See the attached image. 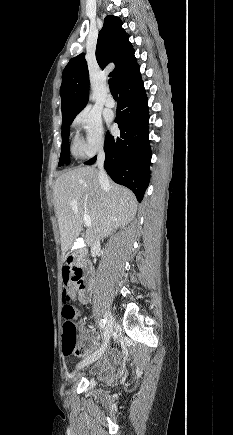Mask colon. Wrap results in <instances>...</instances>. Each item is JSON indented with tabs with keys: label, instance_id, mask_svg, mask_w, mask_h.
<instances>
[{
	"label": "colon",
	"instance_id": "obj_1",
	"mask_svg": "<svg viewBox=\"0 0 233 435\" xmlns=\"http://www.w3.org/2000/svg\"><path fill=\"white\" fill-rule=\"evenodd\" d=\"M78 278L73 274L69 267L63 270V284L65 286H74ZM77 315L76 308L65 298L64 308L62 310L63 324L61 331L62 351L67 355L80 356L83 348L78 345V330L75 323Z\"/></svg>",
	"mask_w": 233,
	"mask_h": 435
}]
</instances>
